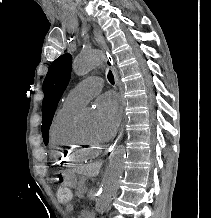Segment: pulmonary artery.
Instances as JSON below:
<instances>
[{
	"label": "pulmonary artery",
	"mask_w": 211,
	"mask_h": 218,
	"mask_svg": "<svg viewBox=\"0 0 211 218\" xmlns=\"http://www.w3.org/2000/svg\"><path fill=\"white\" fill-rule=\"evenodd\" d=\"M105 83L98 77H90L74 87L63 99V106L81 109L92 97L104 87Z\"/></svg>",
	"instance_id": "e3ab8cb5"
}]
</instances>
